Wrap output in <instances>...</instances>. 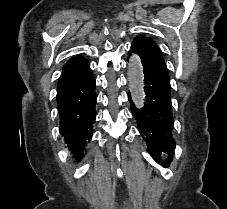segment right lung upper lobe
I'll return each mask as SVG.
<instances>
[{"label": "right lung upper lobe", "instance_id": "1", "mask_svg": "<svg viewBox=\"0 0 227 209\" xmlns=\"http://www.w3.org/2000/svg\"><path fill=\"white\" fill-rule=\"evenodd\" d=\"M88 61L85 60L84 58L77 56V57H73L68 61V65L72 66V65H84L86 64ZM63 84H58L57 86V90L62 88Z\"/></svg>", "mask_w": 227, "mask_h": 209}]
</instances>
